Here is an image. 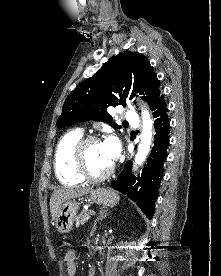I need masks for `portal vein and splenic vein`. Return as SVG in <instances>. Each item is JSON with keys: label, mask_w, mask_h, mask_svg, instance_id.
<instances>
[{"label": "portal vein and splenic vein", "mask_w": 221, "mask_h": 276, "mask_svg": "<svg viewBox=\"0 0 221 276\" xmlns=\"http://www.w3.org/2000/svg\"><path fill=\"white\" fill-rule=\"evenodd\" d=\"M90 215H92V216H95L96 215V212L94 211V210H90Z\"/></svg>", "instance_id": "portal-vein-and-splenic-vein-1"}]
</instances>
